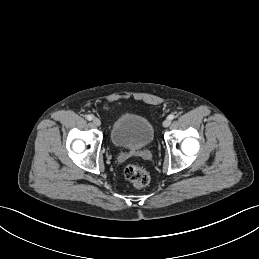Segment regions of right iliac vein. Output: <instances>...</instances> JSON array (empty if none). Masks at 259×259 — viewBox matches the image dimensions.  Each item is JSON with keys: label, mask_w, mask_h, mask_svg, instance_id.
I'll list each match as a JSON object with an SVG mask.
<instances>
[{"label": "right iliac vein", "mask_w": 259, "mask_h": 259, "mask_svg": "<svg viewBox=\"0 0 259 259\" xmlns=\"http://www.w3.org/2000/svg\"><path fill=\"white\" fill-rule=\"evenodd\" d=\"M92 121H93V124H94L95 126H100V125H101V121H100V119L97 118V117H94Z\"/></svg>", "instance_id": "right-iliac-vein-1"}]
</instances>
